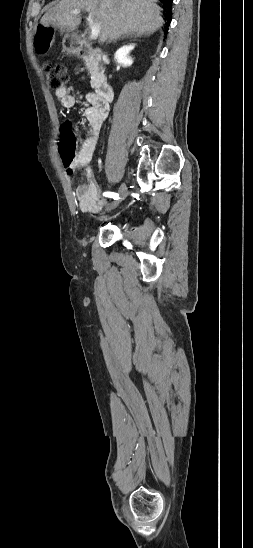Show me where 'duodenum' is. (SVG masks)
I'll use <instances>...</instances> for the list:
<instances>
[{
  "instance_id": "obj_1",
  "label": "duodenum",
  "mask_w": 253,
  "mask_h": 548,
  "mask_svg": "<svg viewBox=\"0 0 253 548\" xmlns=\"http://www.w3.org/2000/svg\"><path fill=\"white\" fill-rule=\"evenodd\" d=\"M77 54L86 60L98 62L102 58V52L99 49L92 48L82 41L74 42ZM96 93L106 101H111L114 97L113 87L104 79H100L96 84Z\"/></svg>"
}]
</instances>
